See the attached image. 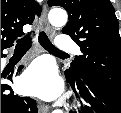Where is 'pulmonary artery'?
Here are the masks:
<instances>
[{"label": "pulmonary artery", "mask_w": 121, "mask_h": 113, "mask_svg": "<svg viewBox=\"0 0 121 113\" xmlns=\"http://www.w3.org/2000/svg\"><path fill=\"white\" fill-rule=\"evenodd\" d=\"M56 48L62 52L74 51L75 53L80 54L78 47L75 46L71 38L67 35H60Z\"/></svg>", "instance_id": "e3ab8cb5"}]
</instances>
